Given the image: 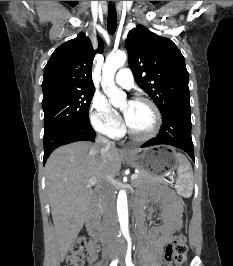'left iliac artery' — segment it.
I'll return each mask as SVG.
<instances>
[{"instance_id": "left-iliac-artery-1", "label": "left iliac artery", "mask_w": 233, "mask_h": 266, "mask_svg": "<svg viewBox=\"0 0 233 266\" xmlns=\"http://www.w3.org/2000/svg\"><path fill=\"white\" fill-rule=\"evenodd\" d=\"M126 265L127 266H135L131 259V240L128 238V250L126 254Z\"/></svg>"}]
</instances>
